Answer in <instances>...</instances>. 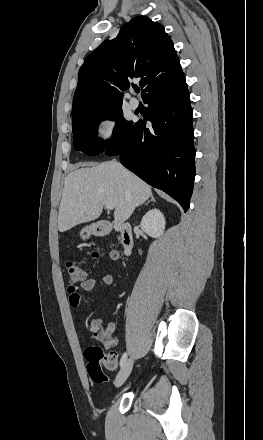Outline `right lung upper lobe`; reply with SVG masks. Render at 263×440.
<instances>
[{
  "label": "right lung upper lobe",
  "instance_id": "obj_1",
  "mask_svg": "<svg viewBox=\"0 0 263 440\" xmlns=\"http://www.w3.org/2000/svg\"><path fill=\"white\" fill-rule=\"evenodd\" d=\"M181 71L171 38L164 27L138 16L118 36L104 41L80 68L74 94L73 119L81 114L122 105V90L140 78L143 97Z\"/></svg>",
  "mask_w": 263,
  "mask_h": 440
}]
</instances>
